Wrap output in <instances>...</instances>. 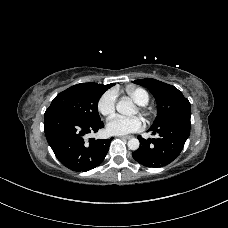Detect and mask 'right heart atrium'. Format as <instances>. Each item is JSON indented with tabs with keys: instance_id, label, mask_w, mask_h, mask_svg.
I'll return each mask as SVG.
<instances>
[{
	"instance_id": "right-heart-atrium-1",
	"label": "right heart atrium",
	"mask_w": 228,
	"mask_h": 228,
	"mask_svg": "<svg viewBox=\"0 0 228 228\" xmlns=\"http://www.w3.org/2000/svg\"><path fill=\"white\" fill-rule=\"evenodd\" d=\"M117 93L114 90H107L98 100L97 108L103 116H110L115 111Z\"/></svg>"
}]
</instances>
